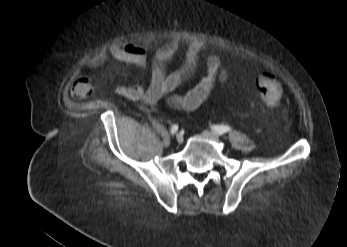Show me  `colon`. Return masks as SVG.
Masks as SVG:
<instances>
[{"instance_id":"colon-1","label":"colon","mask_w":347,"mask_h":247,"mask_svg":"<svg viewBox=\"0 0 347 247\" xmlns=\"http://www.w3.org/2000/svg\"><path fill=\"white\" fill-rule=\"evenodd\" d=\"M280 81L271 74H264L257 80V91L263 102L268 106H275L280 100Z\"/></svg>"}]
</instances>
